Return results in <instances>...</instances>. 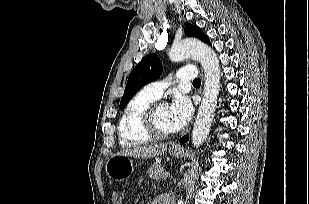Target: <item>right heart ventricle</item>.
Wrapping results in <instances>:
<instances>
[{
	"label": "right heart ventricle",
	"instance_id": "obj_1",
	"mask_svg": "<svg viewBox=\"0 0 309 204\" xmlns=\"http://www.w3.org/2000/svg\"><path fill=\"white\" fill-rule=\"evenodd\" d=\"M156 99L143 90L128 102L118 124V135L122 146L139 145L151 139L142 130L140 117L143 110Z\"/></svg>",
	"mask_w": 309,
	"mask_h": 204
}]
</instances>
